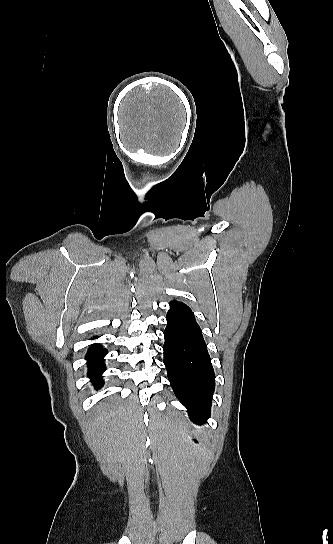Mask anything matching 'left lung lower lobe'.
Wrapping results in <instances>:
<instances>
[{"label":"left lung lower lobe","mask_w":333,"mask_h":544,"mask_svg":"<svg viewBox=\"0 0 333 544\" xmlns=\"http://www.w3.org/2000/svg\"><path fill=\"white\" fill-rule=\"evenodd\" d=\"M164 331V364L176 397L196 423L209 418L215 389L211 359L191 309L184 303L170 302Z\"/></svg>","instance_id":"0a47b994"}]
</instances>
